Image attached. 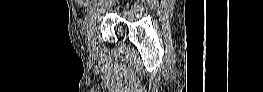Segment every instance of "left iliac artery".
Listing matches in <instances>:
<instances>
[{"mask_svg": "<svg viewBox=\"0 0 263 92\" xmlns=\"http://www.w3.org/2000/svg\"><path fill=\"white\" fill-rule=\"evenodd\" d=\"M95 6H97V1H92V8H91V11L89 12V15L87 17L88 21H93L94 20L93 16L97 15Z\"/></svg>", "mask_w": 263, "mask_h": 92, "instance_id": "obj_1", "label": "left iliac artery"}]
</instances>
